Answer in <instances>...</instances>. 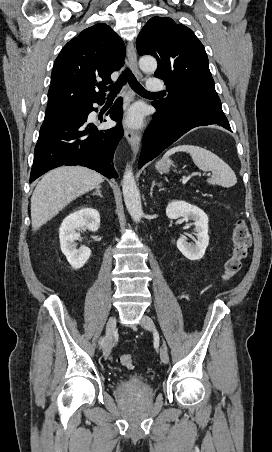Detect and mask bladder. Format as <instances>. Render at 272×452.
Wrapping results in <instances>:
<instances>
[{"mask_svg":"<svg viewBox=\"0 0 272 452\" xmlns=\"http://www.w3.org/2000/svg\"><path fill=\"white\" fill-rule=\"evenodd\" d=\"M128 382L137 386H147L148 378L145 375L136 374L132 375Z\"/></svg>","mask_w":272,"mask_h":452,"instance_id":"bladder-1","label":"bladder"}]
</instances>
